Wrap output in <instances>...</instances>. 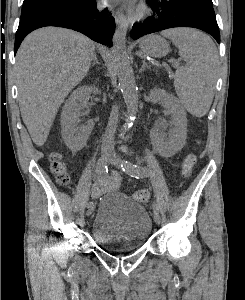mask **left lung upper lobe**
<instances>
[{
	"label": "left lung upper lobe",
	"instance_id": "left-lung-upper-lobe-1",
	"mask_svg": "<svg viewBox=\"0 0 245 300\" xmlns=\"http://www.w3.org/2000/svg\"><path fill=\"white\" fill-rule=\"evenodd\" d=\"M198 1L206 3L208 5H213L212 0H198Z\"/></svg>",
	"mask_w": 245,
	"mask_h": 300
}]
</instances>
